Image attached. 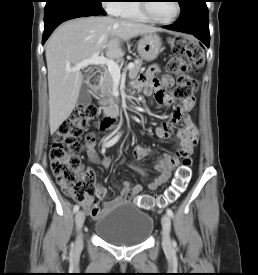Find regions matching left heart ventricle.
<instances>
[{
  "label": "left heart ventricle",
  "mask_w": 258,
  "mask_h": 275,
  "mask_svg": "<svg viewBox=\"0 0 258 275\" xmlns=\"http://www.w3.org/2000/svg\"><path fill=\"white\" fill-rule=\"evenodd\" d=\"M149 9L155 18L169 20L176 13V4L175 1L171 0L152 1V3H149Z\"/></svg>",
  "instance_id": "left-heart-ventricle-1"
}]
</instances>
